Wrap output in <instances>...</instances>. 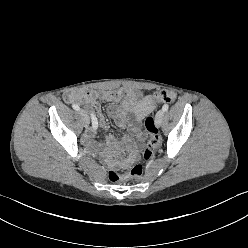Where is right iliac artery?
<instances>
[{
    "instance_id": "obj_1",
    "label": "right iliac artery",
    "mask_w": 248,
    "mask_h": 248,
    "mask_svg": "<svg viewBox=\"0 0 248 248\" xmlns=\"http://www.w3.org/2000/svg\"><path fill=\"white\" fill-rule=\"evenodd\" d=\"M72 107L75 110H80V107L77 104H73ZM91 118H92V128L93 129H96L97 126H98L97 119H96V117L93 114H91Z\"/></svg>"
}]
</instances>
